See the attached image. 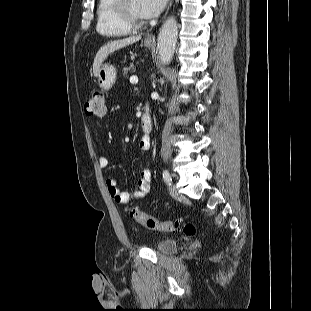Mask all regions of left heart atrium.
Here are the masks:
<instances>
[{"mask_svg":"<svg viewBox=\"0 0 311 311\" xmlns=\"http://www.w3.org/2000/svg\"><path fill=\"white\" fill-rule=\"evenodd\" d=\"M140 15L145 18L157 16L166 6L168 0H139Z\"/></svg>","mask_w":311,"mask_h":311,"instance_id":"obj_1","label":"left heart atrium"}]
</instances>
